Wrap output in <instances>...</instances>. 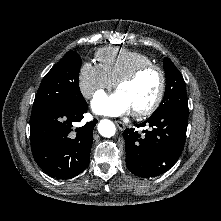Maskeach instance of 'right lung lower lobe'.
Listing matches in <instances>:
<instances>
[{"instance_id":"obj_1","label":"right lung lower lobe","mask_w":221,"mask_h":221,"mask_svg":"<svg viewBox=\"0 0 221 221\" xmlns=\"http://www.w3.org/2000/svg\"><path fill=\"white\" fill-rule=\"evenodd\" d=\"M88 105L56 107L30 123L33 157L51 177L71 179L89 164L93 129L97 120L73 130L83 119Z\"/></svg>"}]
</instances>
